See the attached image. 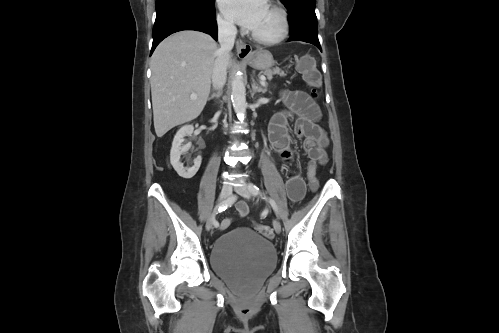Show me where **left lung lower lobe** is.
Listing matches in <instances>:
<instances>
[{
	"label": "left lung lower lobe",
	"mask_w": 499,
	"mask_h": 333,
	"mask_svg": "<svg viewBox=\"0 0 499 333\" xmlns=\"http://www.w3.org/2000/svg\"><path fill=\"white\" fill-rule=\"evenodd\" d=\"M290 38L288 41L311 43L321 50L318 39L317 17L314 8L300 7L289 12Z\"/></svg>",
	"instance_id": "obj_1"
}]
</instances>
